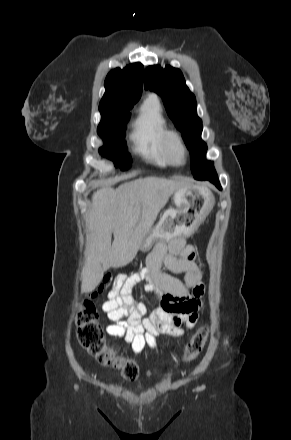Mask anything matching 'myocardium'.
<instances>
[{
	"mask_svg": "<svg viewBox=\"0 0 291 440\" xmlns=\"http://www.w3.org/2000/svg\"><path fill=\"white\" fill-rule=\"evenodd\" d=\"M165 155L169 163L182 165L186 161L187 149L182 136L174 130H168L164 137Z\"/></svg>",
	"mask_w": 291,
	"mask_h": 440,
	"instance_id": "obj_1",
	"label": "myocardium"
}]
</instances>
